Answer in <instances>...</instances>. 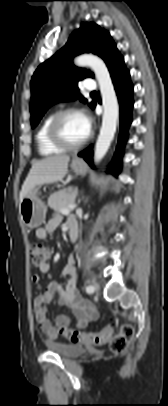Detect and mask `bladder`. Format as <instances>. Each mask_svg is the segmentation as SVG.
<instances>
[{
    "mask_svg": "<svg viewBox=\"0 0 168 406\" xmlns=\"http://www.w3.org/2000/svg\"><path fill=\"white\" fill-rule=\"evenodd\" d=\"M52 350L63 358H75L84 352V348L75 344L50 345Z\"/></svg>",
    "mask_w": 168,
    "mask_h": 406,
    "instance_id": "obj_1",
    "label": "bladder"
}]
</instances>
